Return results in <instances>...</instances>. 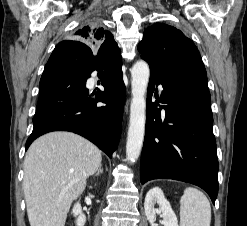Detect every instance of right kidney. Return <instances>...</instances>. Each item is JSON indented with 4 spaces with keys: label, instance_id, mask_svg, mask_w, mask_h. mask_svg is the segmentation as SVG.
<instances>
[{
    "label": "right kidney",
    "instance_id": "1",
    "mask_svg": "<svg viewBox=\"0 0 247 226\" xmlns=\"http://www.w3.org/2000/svg\"><path fill=\"white\" fill-rule=\"evenodd\" d=\"M72 213L75 217H77L76 219V225L77 226H84L86 223V217L85 215L82 213V208L79 202H77L72 210Z\"/></svg>",
    "mask_w": 247,
    "mask_h": 226
}]
</instances>
